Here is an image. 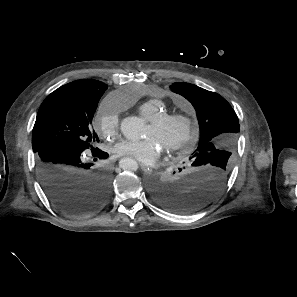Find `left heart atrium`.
Listing matches in <instances>:
<instances>
[{
    "label": "left heart atrium",
    "instance_id": "39dd6f15",
    "mask_svg": "<svg viewBox=\"0 0 297 297\" xmlns=\"http://www.w3.org/2000/svg\"><path fill=\"white\" fill-rule=\"evenodd\" d=\"M163 147L154 137L144 140H122L115 146L116 154L128 156L142 164H152L159 159Z\"/></svg>",
    "mask_w": 297,
    "mask_h": 297
}]
</instances>
